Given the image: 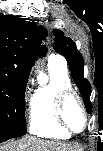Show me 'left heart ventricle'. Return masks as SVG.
<instances>
[{"label": "left heart ventricle", "instance_id": "left-heart-ventricle-1", "mask_svg": "<svg viewBox=\"0 0 103 151\" xmlns=\"http://www.w3.org/2000/svg\"><path fill=\"white\" fill-rule=\"evenodd\" d=\"M65 118L67 122L76 130H81L84 126V115L76 99L70 98L65 105Z\"/></svg>", "mask_w": 103, "mask_h": 151}]
</instances>
